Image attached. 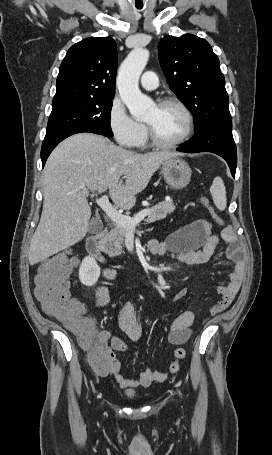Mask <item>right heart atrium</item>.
<instances>
[{
	"mask_svg": "<svg viewBox=\"0 0 272 455\" xmlns=\"http://www.w3.org/2000/svg\"><path fill=\"white\" fill-rule=\"evenodd\" d=\"M108 126L115 141L125 147L134 148L145 134V126L132 118L123 102L115 97L108 110Z\"/></svg>",
	"mask_w": 272,
	"mask_h": 455,
	"instance_id": "d8ad5b80",
	"label": "right heart atrium"
}]
</instances>
